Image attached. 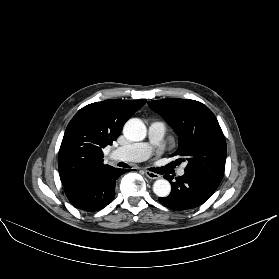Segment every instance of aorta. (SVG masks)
<instances>
[{
    "instance_id": "762f6f07",
    "label": "aorta",
    "mask_w": 279,
    "mask_h": 279,
    "mask_svg": "<svg viewBox=\"0 0 279 279\" xmlns=\"http://www.w3.org/2000/svg\"><path fill=\"white\" fill-rule=\"evenodd\" d=\"M123 133L131 141H142L146 136V126L141 120L131 119L125 123ZM153 192L158 197H167L171 192V185L166 179H158L153 184Z\"/></svg>"
}]
</instances>
